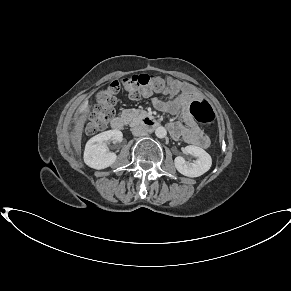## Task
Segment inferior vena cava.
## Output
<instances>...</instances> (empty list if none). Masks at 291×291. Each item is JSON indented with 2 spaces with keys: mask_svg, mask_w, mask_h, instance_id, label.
Listing matches in <instances>:
<instances>
[{
  "mask_svg": "<svg viewBox=\"0 0 291 291\" xmlns=\"http://www.w3.org/2000/svg\"><path fill=\"white\" fill-rule=\"evenodd\" d=\"M134 136H145L147 135V129L144 126H135L131 129Z\"/></svg>",
  "mask_w": 291,
  "mask_h": 291,
  "instance_id": "602c4592",
  "label": "inferior vena cava"
}]
</instances>
